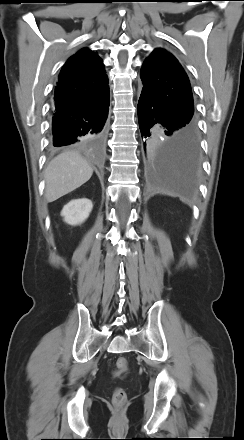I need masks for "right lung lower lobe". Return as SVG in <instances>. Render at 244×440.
Segmentation results:
<instances>
[{"mask_svg":"<svg viewBox=\"0 0 244 440\" xmlns=\"http://www.w3.org/2000/svg\"><path fill=\"white\" fill-rule=\"evenodd\" d=\"M108 107L109 93L82 107L69 110L54 109L53 146L60 147L84 142L97 136L102 138L106 130Z\"/></svg>","mask_w":244,"mask_h":440,"instance_id":"1","label":"right lung lower lobe"}]
</instances>
